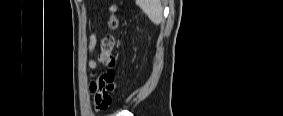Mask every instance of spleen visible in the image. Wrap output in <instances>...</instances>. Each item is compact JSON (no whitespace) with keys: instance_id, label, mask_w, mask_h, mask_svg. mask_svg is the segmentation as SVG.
Here are the masks:
<instances>
[{"instance_id":"1","label":"spleen","mask_w":283,"mask_h":116,"mask_svg":"<svg viewBox=\"0 0 283 116\" xmlns=\"http://www.w3.org/2000/svg\"><path fill=\"white\" fill-rule=\"evenodd\" d=\"M136 5L155 25H159L163 21V8L159 0H136Z\"/></svg>"}]
</instances>
